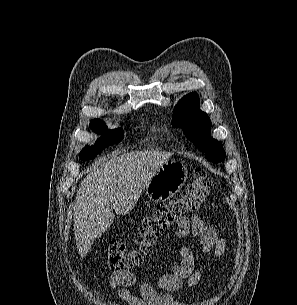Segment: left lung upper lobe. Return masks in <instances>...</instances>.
<instances>
[{"label": "left lung upper lobe", "mask_w": 297, "mask_h": 305, "mask_svg": "<svg viewBox=\"0 0 297 305\" xmlns=\"http://www.w3.org/2000/svg\"><path fill=\"white\" fill-rule=\"evenodd\" d=\"M172 125L181 127L186 137L205 152L209 161L218 163L225 159L223 145L210 137L211 120L200 110L197 93H189L179 101L174 109Z\"/></svg>", "instance_id": "1"}]
</instances>
